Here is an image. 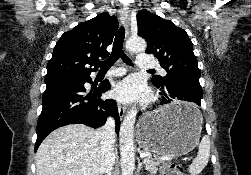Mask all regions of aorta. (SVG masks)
Instances as JSON below:
<instances>
[{
  "label": "aorta",
  "instance_id": "762f6f07",
  "mask_svg": "<svg viewBox=\"0 0 251 175\" xmlns=\"http://www.w3.org/2000/svg\"><path fill=\"white\" fill-rule=\"evenodd\" d=\"M130 52H144L147 48L142 38H130L127 42ZM137 115V107L127 111L120 127V161L122 175H132L135 165L134 149V125Z\"/></svg>",
  "mask_w": 251,
  "mask_h": 175
}]
</instances>
